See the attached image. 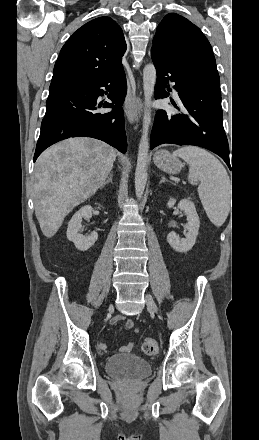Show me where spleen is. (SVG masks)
<instances>
[{"label":"spleen","mask_w":259,"mask_h":440,"mask_svg":"<svg viewBox=\"0 0 259 440\" xmlns=\"http://www.w3.org/2000/svg\"><path fill=\"white\" fill-rule=\"evenodd\" d=\"M189 165L191 182L200 181L198 194L210 221L220 227L230 210L231 182L221 162L208 151L186 146L173 152Z\"/></svg>","instance_id":"3e777b00"}]
</instances>
